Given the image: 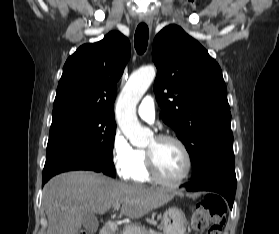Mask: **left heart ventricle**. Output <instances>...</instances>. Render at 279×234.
<instances>
[{
	"instance_id": "obj_1",
	"label": "left heart ventricle",
	"mask_w": 279,
	"mask_h": 234,
	"mask_svg": "<svg viewBox=\"0 0 279 234\" xmlns=\"http://www.w3.org/2000/svg\"><path fill=\"white\" fill-rule=\"evenodd\" d=\"M146 149H155L157 166L165 179L173 181L184 173L186 168L185 156L175 143L157 144L155 139H152Z\"/></svg>"
}]
</instances>
